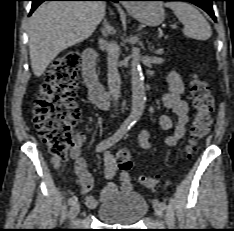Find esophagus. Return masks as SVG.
Returning a JSON list of instances; mask_svg holds the SVG:
<instances>
[{"instance_id": "1", "label": "esophagus", "mask_w": 234, "mask_h": 231, "mask_svg": "<svg viewBox=\"0 0 234 231\" xmlns=\"http://www.w3.org/2000/svg\"><path fill=\"white\" fill-rule=\"evenodd\" d=\"M125 6L129 8V7H132V4H126Z\"/></svg>"}]
</instances>
